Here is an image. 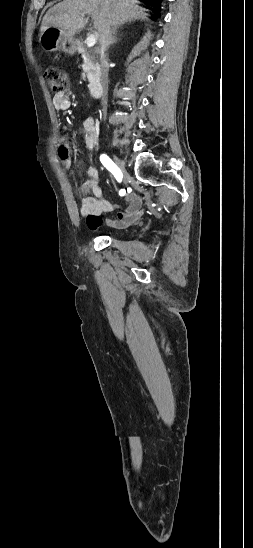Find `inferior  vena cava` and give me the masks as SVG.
I'll return each instance as SVG.
<instances>
[{
    "label": "inferior vena cava",
    "mask_w": 253,
    "mask_h": 548,
    "mask_svg": "<svg viewBox=\"0 0 253 548\" xmlns=\"http://www.w3.org/2000/svg\"><path fill=\"white\" fill-rule=\"evenodd\" d=\"M109 34H110V23L108 21L103 25V28L99 37L100 62H101L100 76H101V84L103 87V96L101 99V103L104 109H106V105H107V89H108V61L105 56V51L107 50L106 45H107ZM99 117L103 122L106 120L105 119L106 116L103 113L100 114Z\"/></svg>",
    "instance_id": "inferior-vena-cava-1"
}]
</instances>
